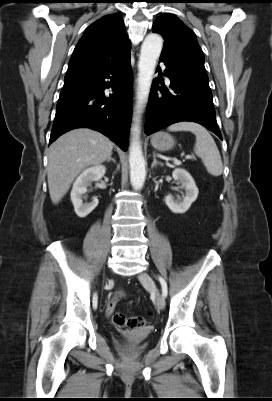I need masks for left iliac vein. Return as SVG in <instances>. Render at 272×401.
Here are the masks:
<instances>
[{"mask_svg": "<svg viewBox=\"0 0 272 401\" xmlns=\"http://www.w3.org/2000/svg\"><path fill=\"white\" fill-rule=\"evenodd\" d=\"M139 280L155 296V304H156V306L159 309L163 310L165 308V301H164L163 296L160 294L159 290L157 289L152 277L148 273L142 272L139 275Z\"/></svg>", "mask_w": 272, "mask_h": 401, "instance_id": "obj_1", "label": "left iliac vein"}]
</instances>
